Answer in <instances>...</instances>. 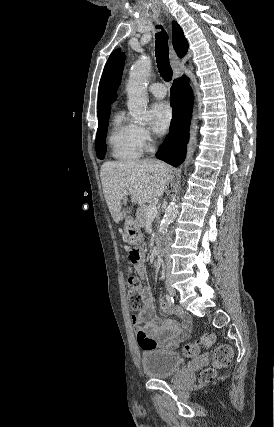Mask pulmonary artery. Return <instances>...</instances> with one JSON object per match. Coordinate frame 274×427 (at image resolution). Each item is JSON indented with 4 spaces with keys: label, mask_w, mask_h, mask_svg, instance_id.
Masks as SVG:
<instances>
[{
    "label": "pulmonary artery",
    "mask_w": 274,
    "mask_h": 427,
    "mask_svg": "<svg viewBox=\"0 0 274 427\" xmlns=\"http://www.w3.org/2000/svg\"><path fill=\"white\" fill-rule=\"evenodd\" d=\"M149 91L158 98H163L167 94L166 87L161 83H153L149 86Z\"/></svg>",
    "instance_id": "obj_1"
}]
</instances>
